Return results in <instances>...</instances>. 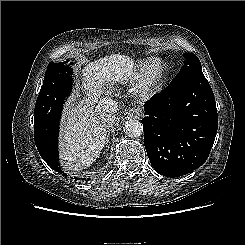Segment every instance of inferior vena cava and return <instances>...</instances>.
<instances>
[{
	"instance_id": "inferior-vena-cava-1",
	"label": "inferior vena cava",
	"mask_w": 245,
	"mask_h": 245,
	"mask_svg": "<svg viewBox=\"0 0 245 245\" xmlns=\"http://www.w3.org/2000/svg\"><path fill=\"white\" fill-rule=\"evenodd\" d=\"M116 110L117 103L111 99L103 98L96 105V112L105 119L108 124L114 123Z\"/></svg>"
}]
</instances>
